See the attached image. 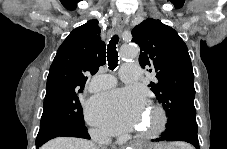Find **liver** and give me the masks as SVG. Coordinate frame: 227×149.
Listing matches in <instances>:
<instances>
[{"label": "liver", "mask_w": 227, "mask_h": 149, "mask_svg": "<svg viewBox=\"0 0 227 149\" xmlns=\"http://www.w3.org/2000/svg\"><path fill=\"white\" fill-rule=\"evenodd\" d=\"M173 148V146H167ZM41 149H99L91 141L69 138V137H58L42 146Z\"/></svg>", "instance_id": "obj_1"}]
</instances>
